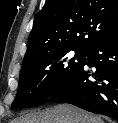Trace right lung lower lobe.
Masks as SVG:
<instances>
[{"instance_id":"obj_1","label":"right lung lower lobe","mask_w":118,"mask_h":123,"mask_svg":"<svg viewBox=\"0 0 118 123\" xmlns=\"http://www.w3.org/2000/svg\"><path fill=\"white\" fill-rule=\"evenodd\" d=\"M49 98L118 120V36L89 49L77 73Z\"/></svg>"}]
</instances>
